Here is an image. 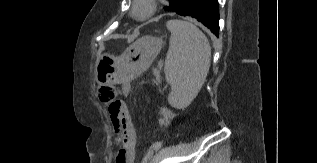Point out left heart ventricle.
Returning <instances> with one entry per match:
<instances>
[{
	"label": "left heart ventricle",
	"mask_w": 317,
	"mask_h": 163,
	"mask_svg": "<svg viewBox=\"0 0 317 163\" xmlns=\"http://www.w3.org/2000/svg\"><path fill=\"white\" fill-rule=\"evenodd\" d=\"M138 12L139 13L143 12V8H139Z\"/></svg>",
	"instance_id": "left-heart-ventricle-1"
}]
</instances>
